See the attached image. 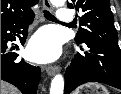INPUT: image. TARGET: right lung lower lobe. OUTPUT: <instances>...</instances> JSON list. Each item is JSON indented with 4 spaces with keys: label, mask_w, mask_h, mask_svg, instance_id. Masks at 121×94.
Here are the masks:
<instances>
[{
    "label": "right lung lower lobe",
    "mask_w": 121,
    "mask_h": 94,
    "mask_svg": "<svg viewBox=\"0 0 121 94\" xmlns=\"http://www.w3.org/2000/svg\"><path fill=\"white\" fill-rule=\"evenodd\" d=\"M33 19L32 11L23 17L1 23V79L15 85L23 94H36L41 70L23 60H16L18 54L7 52V42L15 40L13 35L19 33L23 35V37L18 36L21 44L24 45L28 26ZM16 50H19L18 46H16Z\"/></svg>",
    "instance_id": "1"
}]
</instances>
